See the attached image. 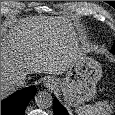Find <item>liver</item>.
Returning a JSON list of instances; mask_svg holds the SVG:
<instances>
[{
    "label": "liver",
    "instance_id": "liver-1",
    "mask_svg": "<svg viewBox=\"0 0 115 115\" xmlns=\"http://www.w3.org/2000/svg\"><path fill=\"white\" fill-rule=\"evenodd\" d=\"M14 22L1 28V100L15 91L17 76L63 74L82 55L80 38L64 18L33 16Z\"/></svg>",
    "mask_w": 115,
    "mask_h": 115
}]
</instances>
